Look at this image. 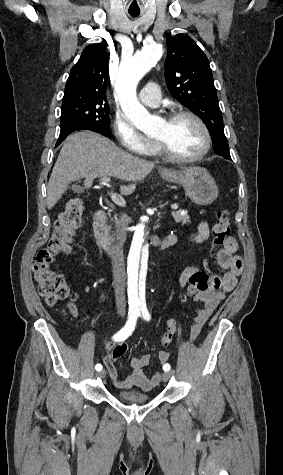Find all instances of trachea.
<instances>
[{"label": "trachea", "instance_id": "obj_1", "mask_svg": "<svg viewBox=\"0 0 283 475\" xmlns=\"http://www.w3.org/2000/svg\"><path fill=\"white\" fill-rule=\"evenodd\" d=\"M132 17H138L140 15V12H133V13H129Z\"/></svg>", "mask_w": 283, "mask_h": 475}]
</instances>
